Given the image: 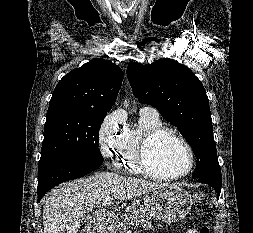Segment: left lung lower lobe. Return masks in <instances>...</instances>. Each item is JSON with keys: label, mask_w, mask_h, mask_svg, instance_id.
Returning a JSON list of instances; mask_svg holds the SVG:
<instances>
[{"label": "left lung lower lobe", "mask_w": 253, "mask_h": 233, "mask_svg": "<svg viewBox=\"0 0 253 233\" xmlns=\"http://www.w3.org/2000/svg\"><path fill=\"white\" fill-rule=\"evenodd\" d=\"M199 182L209 184L217 192V197L220 195L222 180H214L212 178H197Z\"/></svg>", "instance_id": "1"}]
</instances>
